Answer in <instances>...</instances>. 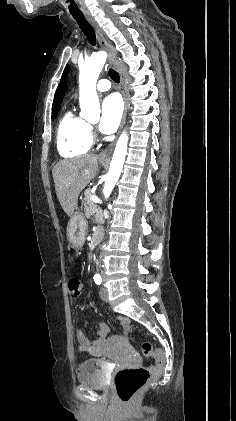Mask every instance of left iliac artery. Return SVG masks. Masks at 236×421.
Wrapping results in <instances>:
<instances>
[{
    "label": "left iliac artery",
    "mask_w": 236,
    "mask_h": 421,
    "mask_svg": "<svg viewBox=\"0 0 236 421\" xmlns=\"http://www.w3.org/2000/svg\"><path fill=\"white\" fill-rule=\"evenodd\" d=\"M93 279H94V281L97 285H100L101 282H102V278H101L100 274H95Z\"/></svg>",
    "instance_id": "44dca946"
}]
</instances>
